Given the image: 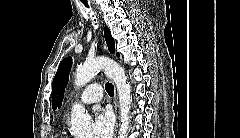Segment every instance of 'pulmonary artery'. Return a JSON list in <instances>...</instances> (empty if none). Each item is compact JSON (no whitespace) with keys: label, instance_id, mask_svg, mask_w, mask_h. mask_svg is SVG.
Wrapping results in <instances>:
<instances>
[{"label":"pulmonary artery","instance_id":"pulmonary-artery-1","mask_svg":"<svg viewBox=\"0 0 240 138\" xmlns=\"http://www.w3.org/2000/svg\"><path fill=\"white\" fill-rule=\"evenodd\" d=\"M103 91L99 84L94 83L89 85L79 97L82 104H94L102 100Z\"/></svg>","mask_w":240,"mask_h":138}]
</instances>
